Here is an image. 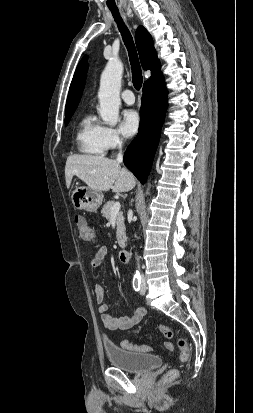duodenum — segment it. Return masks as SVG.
Returning <instances> with one entry per match:
<instances>
[{
    "label": "duodenum",
    "mask_w": 253,
    "mask_h": 413,
    "mask_svg": "<svg viewBox=\"0 0 253 413\" xmlns=\"http://www.w3.org/2000/svg\"><path fill=\"white\" fill-rule=\"evenodd\" d=\"M130 259V253L126 248H123L119 252V260L122 263H127Z\"/></svg>",
    "instance_id": "410a0bca"
}]
</instances>
